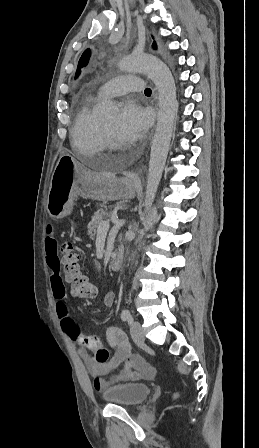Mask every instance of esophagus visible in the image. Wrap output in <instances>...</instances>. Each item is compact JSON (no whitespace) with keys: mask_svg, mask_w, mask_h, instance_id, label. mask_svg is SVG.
I'll use <instances>...</instances> for the list:
<instances>
[{"mask_svg":"<svg viewBox=\"0 0 259 448\" xmlns=\"http://www.w3.org/2000/svg\"><path fill=\"white\" fill-rule=\"evenodd\" d=\"M129 176L133 177L134 180L138 181V174L136 172H130Z\"/></svg>","mask_w":259,"mask_h":448,"instance_id":"esophagus-1","label":"esophagus"}]
</instances>
